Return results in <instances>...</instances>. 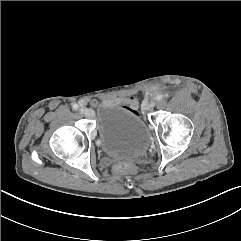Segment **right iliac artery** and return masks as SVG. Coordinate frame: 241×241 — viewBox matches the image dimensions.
<instances>
[{"instance_id": "right-iliac-artery-1", "label": "right iliac artery", "mask_w": 241, "mask_h": 241, "mask_svg": "<svg viewBox=\"0 0 241 241\" xmlns=\"http://www.w3.org/2000/svg\"><path fill=\"white\" fill-rule=\"evenodd\" d=\"M72 108H73V110H75V111H76V110H78V108H79V107H78V105H77V104H74V105L72 106Z\"/></svg>"}]
</instances>
